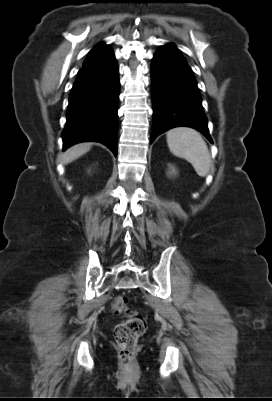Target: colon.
<instances>
[{"instance_id":"1","label":"colon","mask_w":272,"mask_h":401,"mask_svg":"<svg viewBox=\"0 0 272 401\" xmlns=\"http://www.w3.org/2000/svg\"><path fill=\"white\" fill-rule=\"evenodd\" d=\"M114 314L124 313L126 320L116 326L114 331L119 354L123 362H129L135 351L138 339L146 330V321L141 314L135 310L128 309V301L124 296H117L111 304Z\"/></svg>"}]
</instances>
